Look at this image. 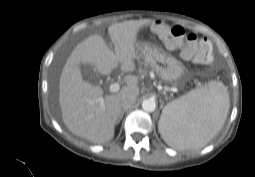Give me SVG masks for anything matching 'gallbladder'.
Here are the masks:
<instances>
[{
    "instance_id": "1",
    "label": "gallbladder",
    "mask_w": 255,
    "mask_h": 177,
    "mask_svg": "<svg viewBox=\"0 0 255 177\" xmlns=\"http://www.w3.org/2000/svg\"><path fill=\"white\" fill-rule=\"evenodd\" d=\"M93 72L94 71H91L90 69H84V74L88 77V78H90V79H92L93 78ZM94 81L96 82V80L94 79Z\"/></svg>"
}]
</instances>
